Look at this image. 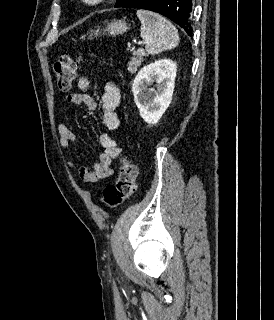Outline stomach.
<instances>
[{"label": "stomach", "instance_id": "obj_1", "mask_svg": "<svg viewBox=\"0 0 274 320\" xmlns=\"http://www.w3.org/2000/svg\"><path fill=\"white\" fill-rule=\"evenodd\" d=\"M127 30H130V28L125 20H113L103 30H99V28L92 30L89 34V40H93V36L94 38H97V36H119V34H126Z\"/></svg>", "mask_w": 274, "mask_h": 320}]
</instances>
